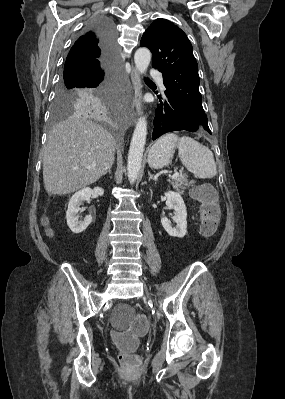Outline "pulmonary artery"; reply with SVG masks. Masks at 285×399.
<instances>
[{
	"instance_id": "pulmonary-artery-1",
	"label": "pulmonary artery",
	"mask_w": 285,
	"mask_h": 399,
	"mask_svg": "<svg viewBox=\"0 0 285 399\" xmlns=\"http://www.w3.org/2000/svg\"><path fill=\"white\" fill-rule=\"evenodd\" d=\"M150 77L158 80L161 84V88L164 89V85L162 84V75L160 72L153 70L150 72Z\"/></svg>"
}]
</instances>
